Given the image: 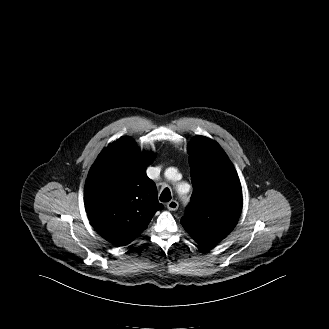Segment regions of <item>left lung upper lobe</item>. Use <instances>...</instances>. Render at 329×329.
I'll list each match as a JSON object with an SVG mask.
<instances>
[{
    "mask_svg": "<svg viewBox=\"0 0 329 329\" xmlns=\"http://www.w3.org/2000/svg\"><path fill=\"white\" fill-rule=\"evenodd\" d=\"M188 154L193 194L181 224L199 245L218 243L234 229L241 214L240 180L215 141L194 137Z\"/></svg>",
    "mask_w": 329,
    "mask_h": 329,
    "instance_id": "left-lung-upper-lobe-1",
    "label": "left lung upper lobe"
}]
</instances>
